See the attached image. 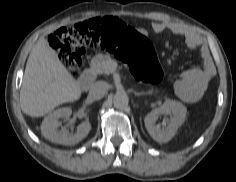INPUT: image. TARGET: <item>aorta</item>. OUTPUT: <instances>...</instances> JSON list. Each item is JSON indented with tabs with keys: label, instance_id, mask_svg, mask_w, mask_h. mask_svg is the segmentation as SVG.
Returning a JSON list of instances; mask_svg holds the SVG:
<instances>
[{
	"label": "aorta",
	"instance_id": "obj_1",
	"mask_svg": "<svg viewBox=\"0 0 236 182\" xmlns=\"http://www.w3.org/2000/svg\"><path fill=\"white\" fill-rule=\"evenodd\" d=\"M129 98L123 92H117L113 97V104L116 108L122 109L128 105Z\"/></svg>",
	"mask_w": 236,
	"mask_h": 182
}]
</instances>
